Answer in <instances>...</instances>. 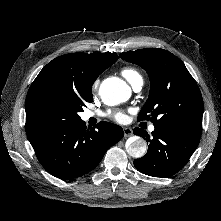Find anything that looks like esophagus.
Segmentation results:
<instances>
[{"mask_svg": "<svg viewBox=\"0 0 221 221\" xmlns=\"http://www.w3.org/2000/svg\"><path fill=\"white\" fill-rule=\"evenodd\" d=\"M123 132H124V136H125V137H130V136L133 134L132 129L129 128V127H125V128L123 129Z\"/></svg>", "mask_w": 221, "mask_h": 221, "instance_id": "1", "label": "esophagus"}]
</instances>
